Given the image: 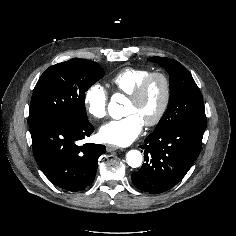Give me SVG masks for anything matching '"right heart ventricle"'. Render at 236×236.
Listing matches in <instances>:
<instances>
[{
  "mask_svg": "<svg viewBox=\"0 0 236 236\" xmlns=\"http://www.w3.org/2000/svg\"><path fill=\"white\" fill-rule=\"evenodd\" d=\"M149 73L148 68H124L111 78L110 83L116 92L129 96Z\"/></svg>",
  "mask_w": 236,
  "mask_h": 236,
  "instance_id": "e07e8e85",
  "label": "right heart ventricle"
}]
</instances>
